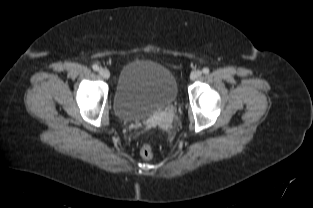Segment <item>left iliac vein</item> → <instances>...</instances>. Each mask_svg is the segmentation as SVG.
Listing matches in <instances>:
<instances>
[{
  "mask_svg": "<svg viewBox=\"0 0 313 208\" xmlns=\"http://www.w3.org/2000/svg\"><path fill=\"white\" fill-rule=\"evenodd\" d=\"M202 75V72L200 70H196V71H193L190 75V78L191 80H196L198 78H200Z\"/></svg>",
  "mask_w": 313,
  "mask_h": 208,
  "instance_id": "4c4485c4",
  "label": "left iliac vein"
}]
</instances>
